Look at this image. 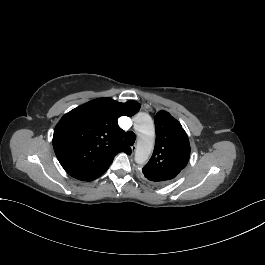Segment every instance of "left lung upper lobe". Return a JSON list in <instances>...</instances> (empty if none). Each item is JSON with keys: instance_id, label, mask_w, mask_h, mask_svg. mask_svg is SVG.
<instances>
[{"instance_id": "left-lung-upper-lobe-1", "label": "left lung upper lobe", "mask_w": 265, "mask_h": 265, "mask_svg": "<svg viewBox=\"0 0 265 265\" xmlns=\"http://www.w3.org/2000/svg\"><path fill=\"white\" fill-rule=\"evenodd\" d=\"M154 122V152L142 172L152 183L163 185L174 179L186 167L190 157V144L181 124L168 112L159 111Z\"/></svg>"}]
</instances>
